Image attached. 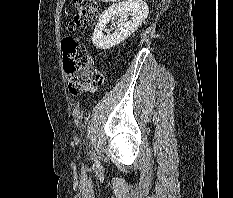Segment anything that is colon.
<instances>
[{
	"label": "colon",
	"mask_w": 233,
	"mask_h": 198,
	"mask_svg": "<svg viewBox=\"0 0 233 198\" xmlns=\"http://www.w3.org/2000/svg\"><path fill=\"white\" fill-rule=\"evenodd\" d=\"M77 15L69 22V31L90 27L96 20L99 8L95 0H74ZM63 64L72 93L79 94L96 90L102 83V74L93 68L92 59L85 49L73 37L62 42Z\"/></svg>",
	"instance_id": "1"
}]
</instances>
